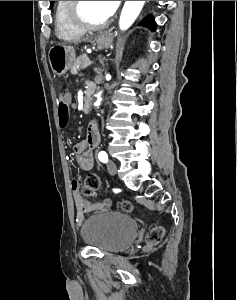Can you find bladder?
<instances>
[{
	"label": "bladder",
	"mask_w": 237,
	"mask_h": 300,
	"mask_svg": "<svg viewBox=\"0 0 237 300\" xmlns=\"http://www.w3.org/2000/svg\"><path fill=\"white\" fill-rule=\"evenodd\" d=\"M137 232L138 225L131 217L113 211L90 216L80 228L84 244L107 253H116L129 247Z\"/></svg>",
	"instance_id": "bladder-1"
}]
</instances>
